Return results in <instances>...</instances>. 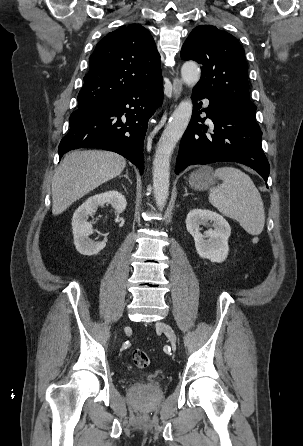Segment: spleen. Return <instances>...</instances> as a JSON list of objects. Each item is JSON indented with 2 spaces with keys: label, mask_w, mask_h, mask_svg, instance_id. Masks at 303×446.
<instances>
[{
  "label": "spleen",
  "mask_w": 303,
  "mask_h": 446,
  "mask_svg": "<svg viewBox=\"0 0 303 446\" xmlns=\"http://www.w3.org/2000/svg\"><path fill=\"white\" fill-rule=\"evenodd\" d=\"M214 176L222 184L210 189V203L223 215L237 220L249 234H260L265 224L264 205L249 175L234 167H220Z\"/></svg>",
  "instance_id": "3e777b00"
}]
</instances>
